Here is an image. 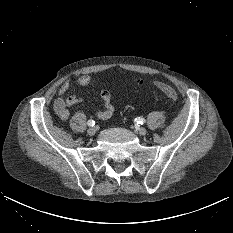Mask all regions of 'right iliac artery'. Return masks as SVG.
<instances>
[{
    "label": "right iliac artery",
    "instance_id": "obj_1",
    "mask_svg": "<svg viewBox=\"0 0 233 233\" xmlns=\"http://www.w3.org/2000/svg\"><path fill=\"white\" fill-rule=\"evenodd\" d=\"M87 124H88V126H94V125H95V121L89 120V121L87 122Z\"/></svg>",
    "mask_w": 233,
    "mask_h": 233
}]
</instances>
